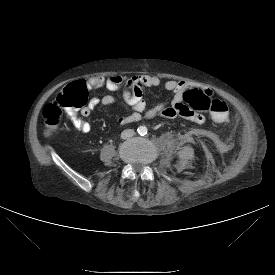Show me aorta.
Returning <instances> with one entry per match:
<instances>
[{"mask_svg":"<svg viewBox=\"0 0 275 275\" xmlns=\"http://www.w3.org/2000/svg\"><path fill=\"white\" fill-rule=\"evenodd\" d=\"M137 131L140 135H145L147 133V128L145 126H139Z\"/></svg>","mask_w":275,"mask_h":275,"instance_id":"aorta-1","label":"aorta"}]
</instances>
